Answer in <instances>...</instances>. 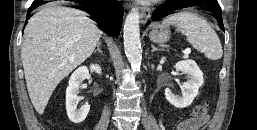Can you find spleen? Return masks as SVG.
Instances as JSON below:
<instances>
[{"label": "spleen", "instance_id": "spleen-1", "mask_svg": "<svg viewBox=\"0 0 257 130\" xmlns=\"http://www.w3.org/2000/svg\"><path fill=\"white\" fill-rule=\"evenodd\" d=\"M163 25H173L187 41L199 51L204 52L209 60H219L223 55L219 37L211 24L198 14L184 10L164 19Z\"/></svg>", "mask_w": 257, "mask_h": 130}]
</instances>
